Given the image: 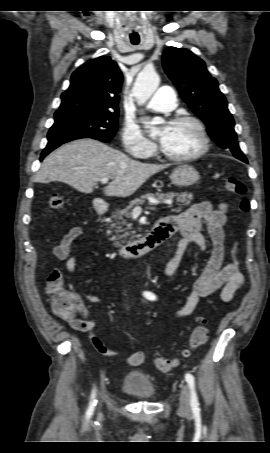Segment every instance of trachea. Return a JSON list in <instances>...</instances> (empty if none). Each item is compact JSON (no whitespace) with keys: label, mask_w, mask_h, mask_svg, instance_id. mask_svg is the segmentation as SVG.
Instances as JSON below:
<instances>
[{"label":"trachea","mask_w":270,"mask_h":453,"mask_svg":"<svg viewBox=\"0 0 270 453\" xmlns=\"http://www.w3.org/2000/svg\"><path fill=\"white\" fill-rule=\"evenodd\" d=\"M139 42H132V44L137 45Z\"/></svg>","instance_id":"trachea-1"}]
</instances>
